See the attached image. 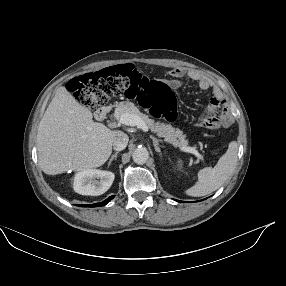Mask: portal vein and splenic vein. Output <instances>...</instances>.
<instances>
[{
  "label": "portal vein and splenic vein",
  "mask_w": 286,
  "mask_h": 286,
  "mask_svg": "<svg viewBox=\"0 0 286 286\" xmlns=\"http://www.w3.org/2000/svg\"><path fill=\"white\" fill-rule=\"evenodd\" d=\"M118 122L129 126H137L138 128H141L145 132L149 130V127L138 116H134L129 113L121 114L118 119ZM181 150L184 152L192 153L199 159L203 160V157L193 147H183L181 148Z\"/></svg>",
  "instance_id": "portal-vein-and-splenic-vein-1"
}]
</instances>
